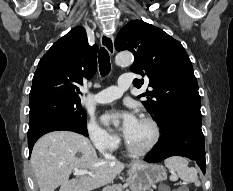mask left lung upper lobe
<instances>
[{"label":"left lung upper lobe","mask_w":233,"mask_h":191,"mask_svg":"<svg viewBox=\"0 0 233 191\" xmlns=\"http://www.w3.org/2000/svg\"><path fill=\"white\" fill-rule=\"evenodd\" d=\"M115 48L134 54L130 70L144 77L134 80L135 87L148 82L153 88L139 97L145 98L142 103L161 131L177 118L202 119L198 83L180 42L151 24L132 20L118 33Z\"/></svg>","instance_id":"5c2ea615"}]
</instances>
